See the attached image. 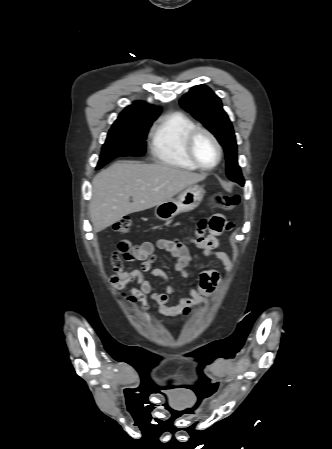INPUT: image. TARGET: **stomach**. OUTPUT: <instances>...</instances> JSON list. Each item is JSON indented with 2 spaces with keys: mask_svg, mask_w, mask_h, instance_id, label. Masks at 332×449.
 <instances>
[{
  "mask_svg": "<svg viewBox=\"0 0 332 449\" xmlns=\"http://www.w3.org/2000/svg\"><path fill=\"white\" fill-rule=\"evenodd\" d=\"M205 190L199 185H192L183 190L177 198L170 199L155 207V216L163 221L194 210L203 200Z\"/></svg>",
  "mask_w": 332,
  "mask_h": 449,
  "instance_id": "1",
  "label": "stomach"
}]
</instances>
